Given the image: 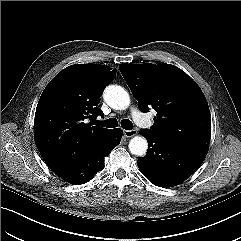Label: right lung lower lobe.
Wrapping results in <instances>:
<instances>
[{
  "instance_id": "obj_1",
  "label": "right lung lower lobe",
  "mask_w": 241,
  "mask_h": 241,
  "mask_svg": "<svg viewBox=\"0 0 241 241\" xmlns=\"http://www.w3.org/2000/svg\"><path fill=\"white\" fill-rule=\"evenodd\" d=\"M122 132L119 128L100 143L73 158L49 164L50 169L63 180L80 185L91 180L104 167V157L120 143Z\"/></svg>"
}]
</instances>
